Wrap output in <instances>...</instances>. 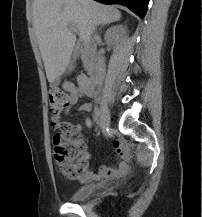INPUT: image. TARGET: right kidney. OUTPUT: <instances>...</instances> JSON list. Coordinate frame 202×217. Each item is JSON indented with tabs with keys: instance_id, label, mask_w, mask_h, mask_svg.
<instances>
[{
	"instance_id": "obj_1",
	"label": "right kidney",
	"mask_w": 202,
	"mask_h": 217,
	"mask_svg": "<svg viewBox=\"0 0 202 217\" xmlns=\"http://www.w3.org/2000/svg\"><path fill=\"white\" fill-rule=\"evenodd\" d=\"M126 34V28L123 25L110 27L105 33V40L111 44H115Z\"/></svg>"
}]
</instances>
